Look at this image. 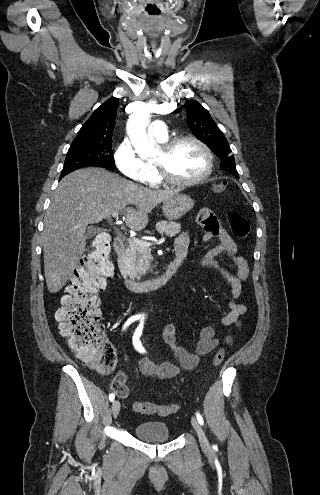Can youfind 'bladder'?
<instances>
[{
  "mask_svg": "<svg viewBox=\"0 0 320 495\" xmlns=\"http://www.w3.org/2000/svg\"><path fill=\"white\" fill-rule=\"evenodd\" d=\"M134 434L145 442H167L170 439V430L166 423L147 421L134 427Z\"/></svg>",
  "mask_w": 320,
  "mask_h": 495,
  "instance_id": "31cf9c89",
  "label": "bladder"
}]
</instances>
